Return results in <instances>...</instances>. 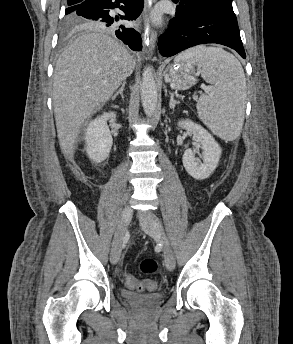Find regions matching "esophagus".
I'll list each match as a JSON object with an SVG mask.
<instances>
[{
    "mask_svg": "<svg viewBox=\"0 0 293 344\" xmlns=\"http://www.w3.org/2000/svg\"><path fill=\"white\" fill-rule=\"evenodd\" d=\"M155 2L156 0H145V13L143 16L145 22L144 41L145 45L148 46L150 57L153 56L157 41V31L150 25V15ZM152 60H155V57H152Z\"/></svg>",
    "mask_w": 293,
    "mask_h": 344,
    "instance_id": "obj_1",
    "label": "esophagus"
}]
</instances>
